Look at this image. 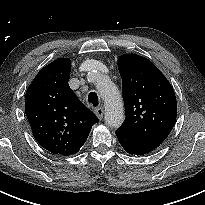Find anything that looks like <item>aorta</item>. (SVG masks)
I'll use <instances>...</instances> for the list:
<instances>
[{"label": "aorta", "instance_id": "762f6f07", "mask_svg": "<svg viewBox=\"0 0 205 205\" xmlns=\"http://www.w3.org/2000/svg\"><path fill=\"white\" fill-rule=\"evenodd\" d=\"M97 88L105 104V122L109 127L118 128L124 121V108L121 95L111 80L99 75Z\"/></svg>", "mask_w": 205, "mask_h": 205}]
</instances>
